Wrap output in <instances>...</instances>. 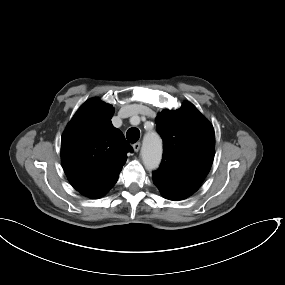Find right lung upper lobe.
Instances as JSON below:
<instances>
[{
	"instance_id": "right-lung-upper-lobe-1",
	"label": "right lung upper lobe",
	"mask_w": 285,
	"mask_h": 285,
	"mask_svg": "<svg viewBox=\"0 0 285 285\" xmlns=\"http://www.w3.org/2000/svg\"><path fill=\"white\" fill-rule=\"evenodd\" d=\"M110 104L90 99L76 112L61 139V160L71 185L89 198L104 196L118 180L133 149L112 125Z\"/></svg>"
}]
</instances>
